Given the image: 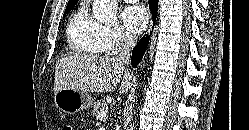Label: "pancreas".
<instances>
[{"label":"pancreas","instance_id":"pancreas-1","mask_svg":"<svg viewBox=\"0 0 249 130\" xmlns=\"http://www.w3.org/2000/svg\"><path fill=\"white\" fill-rule=\"evenodd\" d=\"M108 104L105 101L99 100L93 106V114L98 118L99 114L102 112L107 113Z\"/></svg>","mask_w":249,"mask_h":130}]
</instances>
